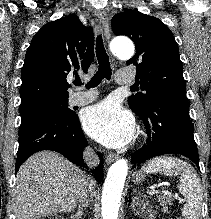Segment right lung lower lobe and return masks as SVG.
Wrapping results in <instances>:
<instances>
[{
  "label": "right lung lower lobe",
  "mask_w": 211,
  "mask_h": 219,
  "mask_svg": "<svg viewBox=\"0 0 211 219\" xmlns=\"http://www.w3.org/2000/svg\"><path fill=\"white\" fill-rule=\"evenodd\" d=\"M88 145L83 134L78 116L69 117L56 114H44L21 122L19 128V148L16 168L33 153L41 150H52L61 153L76 165L83 166V149ZM99 166L93 170L95 179L103 178V159L101 153Z\"/></svg>",
  "instance_id": "obj_1"
}]
</instances>
